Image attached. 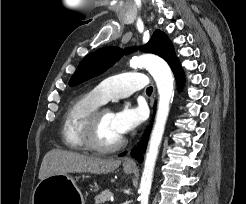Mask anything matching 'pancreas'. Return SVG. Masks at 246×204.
<instances>
[{
  "mask_svg": "<svg viewBox=\"0 0 246 204\" xmlns=\"http://www.w3.org/2000/svg\"><path fill=\"white\" fill-rule=\"evenodd\" d=\"M112 193L109 190H105L99 195L95 196V204H104L105 202L109 201Z\"/></svg>",
  "mask_w": 246,
  "mask_h": 204,
  "instance_id": "obj_1",
  "label": "pancreas"
}]
</instances>
